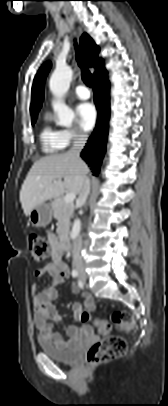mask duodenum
I'll return each instance as SVG.
<instances>
[{
    "label": "duodenum",
    "instance_id": "1",
    "mask_svg": "<svg viewBox=\"0 0 168 406\" xmlns=\"http://www.w3.org/2000/svg\"><path fill=\"white\" fill-rule=\"evenodd\" d=\"M60 247L62 249V251H68L70 248V241H69V237L64 234L60 237Z\"/></svg>",
    "mask_w": 168,
    "mask_h": 406
}]
</instances>
